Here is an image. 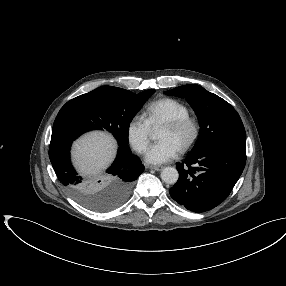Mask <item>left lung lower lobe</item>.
Masks as SVG:
<instances>
[{
    "mask_svg": "<svg viewBox=\"0 0 286 286\" xmlns=\"http://www.w3.org/2000/svg\"><path fill=\"white\" fill-rule=\"evenodd\" d=\"M245 162V148L235 145H216L190 153L176 165L179 179L169 190L170 196L190 211H208L228 197Z\"/></svg>",
    "mask_w": 286,
    "mask_h": 286,
    "instance_id": "obj_1",
    "label": "left lung lower lobe"
}]
</instances>
